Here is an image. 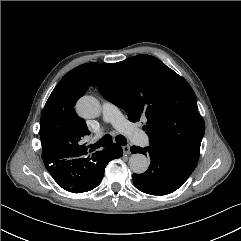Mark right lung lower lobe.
<instances>
[{"instance_id": "1", "label": "right lung lower lobe", "mask_w": 241, "mask_h": 241, "mask_svg": "<svg viewBox=\"0 0 241 241\" xmlns=\"http://www.w3.org/2000/svg\"><path fill=\"white\" fill-rule=\"evenodd\" d=\"M122 155L121 146L114 143L91 155L85 152L62 159L47 157L42 159L60 187L72 193H82L97 187L104 176L108 162Z\"/></svg>"}]
</instances>
